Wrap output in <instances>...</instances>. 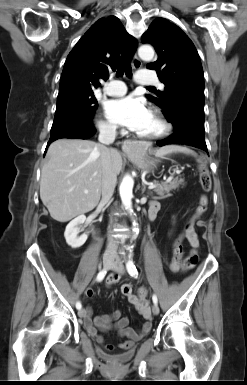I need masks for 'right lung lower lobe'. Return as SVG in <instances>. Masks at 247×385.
<instances>
[{
  "instance_id": "98d812e1",
  "label": "right lung lower lobe",
  "mask_w": 247,
  "mask_h": 385,
  "mask_svg": "<svg viewBox=\"0 0 247 385\" xmlns=\"http://www.w3.org/2000/svg\"><path fill=\"white\" fill-rule=\"evenodd\" d=\"M95 128L92 120L76 118L68 120L51 128V136L47 147L55 140L60 138H80L87 139L94 135ZM47 149V148H46Z\"/></svg>"
}]
</instances>
